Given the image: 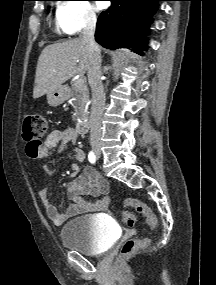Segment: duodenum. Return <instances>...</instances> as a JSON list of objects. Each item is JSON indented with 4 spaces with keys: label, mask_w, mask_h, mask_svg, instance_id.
<instances>
[{
    "label": "duodenum",
    "mask_w": 216,
    "mask_h": 285,
    "mask_svg": "<svg viewBox=\"0 0 216 285\" xmlns=\"http://www.w3.org/2000/svg\"><path fill=\"white\" fill-rule=\"evenodd\" d=\"M89 127H90V123L87 117H83L79 120L77 128L80 133L88 132Z\"/></svg>",
    "instance_id": "obj_1"
}]
</instances>
